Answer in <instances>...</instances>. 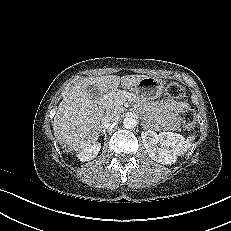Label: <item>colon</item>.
I'll return each mask as SVG.
<instances>
[{"mask_svg": "<svg viewBox=\"0 0 231 231\" xmlns=\"http://www.w3.org/2000/svg\"><path fill=\"white\" fill-rule=\"evenodd\" d=\"M166 94L173 99H182L185 96L184 88L176 82H171L166 87ZM180 125L187 131H193L196 127L195 114L187 109L181 113L179 118Z\"/></svg>", "mask_w": 231, "mask_h": 231, "instance_id": "colon-1", "label": "colon"}]
</instances>
